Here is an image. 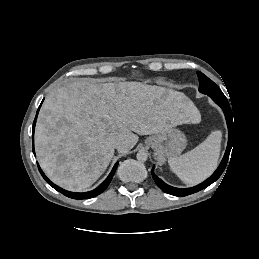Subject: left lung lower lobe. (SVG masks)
Instances as JSON below:
<instances>
[{"label": "left lung lower lobe", "mask_w": 259, "mask_h": 259, "mask_svg": "<svg viewBox=\"0 0 259 259\" xmlns=\"http://www.w3.org/2000/svg\"><path fill=\"white\" fill-rule=\"evenodd\" d=\"M223 110L225 117H226V121H227V125H228V132H229V138H228V145H227V149L225 152V155L223 157V160L221 161L219 167L217 168V170L204 182H202L201 184L195 186V187H191V188H175L172 186L167 185L166 183H164L160 178H158L155 174H154V166L152 168V176L153 179L155 180L156 184L166 193L174 195V196H187L190 194H193L195 192H198L206 187H208L209 185H211L213 182H215L223 173L228 158H229V154L232 148V144H233V121H232V111L230 108V105L227 101V98L223 95V96H210Z\"/></svg>", "instance_id": "0a47b994"}]
</instances>
